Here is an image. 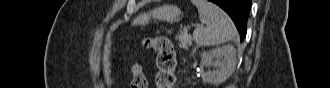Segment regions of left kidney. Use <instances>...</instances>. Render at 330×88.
<instances>
[{
    "label": "left kidney",
    "mask_w": 330,
    "mask_h": 88,
    "mask_svg": "<svg viewBox=\"0 0 330 88\" xmlns=\"http://www.w3.org/2000/svg\"><path fill=\"white\" fill-rule=\"evenodd\" d=\"M201 63L217 68L215 71L203 73V82L218 85L234 72L237 64L236 49L229 44L212 49L202 55Z\"/></svg>",
    "instance_id": "obj_1"
}]
</instances>
